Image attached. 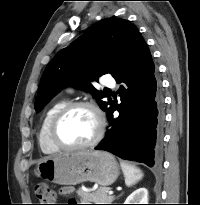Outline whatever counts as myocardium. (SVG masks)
I'll use <instances>...</instances> for the list:
<instances>
[{
  "instance_id": "obj_1",
  "label": "myocardium",
  "mask_w": 200,
  "mask_h": 205,
  "mask_svg": "<svg viewBox=\"0 0 200 205\" xmlns=\"http://www.w3.org/2000/svg\"><path fill=\"white\" fill-rule=\"evenodd\" d=\"M77 108H85L90 110L97 123V131L95 136L88 142L84 144H79V145H66L63 144L57 136V130L58 126L63 120V118L72 110L77 109ZM105 134V119L104 116L101 112V110L92 102L89 101H73V102H68L65 106H63L57 114L54 116L51 125H50V130H49V136L50 140L53 143V145L63 151H76V150H83L87 148H91L96 146L104 137Z\"/></svg>"
}]
</instances>
